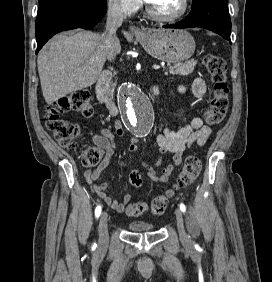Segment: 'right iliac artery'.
<instances>
[{
    "label": "right iliac artery",
    "instance_id": "1",
    "mask_svg": "<svg viewBox=\"0 0 272 282\" xmlns=\"http://www.w3.org/2000/svg\"><path fill=\"white\" fill-rule=\"evenodd\" d=\"M101 210H102V208H101L100 205L96 207V209H95V216H96V218H98L100 216ZM94 247H96V244H94Z\"/></svg>",
    "mask_w": 272,
    "mask_h": 282
}]
</instances>
